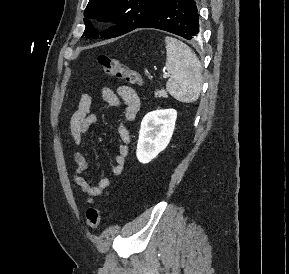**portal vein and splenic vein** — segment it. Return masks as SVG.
Wrapping results in <instances>:
<instances>
[{"label": "portal vein and splenic vein", "mask_w": 289, "mask_h": 274, "mask_svg": "<svg viewBox=\"0 0 289 274\" xmlns=\"http://www.w3.org/2000/svg\"><path fill=\"white\" fill-rule=\"evenodd\" d=\"M168 77H169V75L167 73L163 74V78H168Z\"/></svg>", "instance_id": "portal-vein-and-splenic-vein-1"}]
</instances>
